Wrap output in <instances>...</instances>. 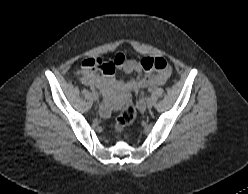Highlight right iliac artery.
<instances>
[{
    "instance_id": "right-iliac-artery-1",
    "label": "right iliac artery",
    "mask_w": 248,
    "mask_h": 194,
    "mask_svg": "<svg viewBox=\"0 0 248 194\" xmlns=\"http://www.w3.org/2000/svg\"><path fill=\"white\" fill-rule=\"evenodd\" d=\"M90 90L92 91V92H95V88L94 87H90Z\"/></svg>"
}]
</instances>
